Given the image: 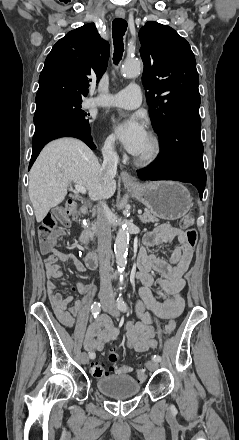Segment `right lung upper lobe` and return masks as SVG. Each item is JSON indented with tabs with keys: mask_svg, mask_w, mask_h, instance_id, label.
<instances>
[{
	"mask_svg": "<svg viewBox=\"0 0 239 440\" xmlns=\"http://www.w3.org/2000/svg\"><path fill=\"white\" fill-rule=\"evenodd\" d=\"M109 43L94 23L68 32L48 54L39 77L36 102L54 96H87L90 82L106 70Z\"/></svg>",
	"mask_w": 239,
	"mask_h": 440,
	"instance_id": "obj_1",
	"label": "right lung upper lobe"
}]
</instances>
